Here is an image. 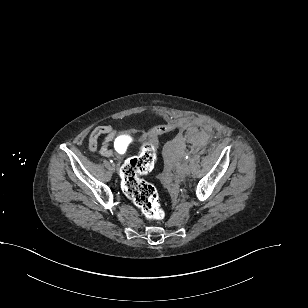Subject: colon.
<instances>
[{"mask_svg":"<svg viewBox=\"0 0 308 308\" xmlns=\"http://www.w3.org/2000/svg\"><path fill=\"white\" fill-rule=\"evenodd\" d=\"M174 128L172 125H158L149 131L147 141L137 156L128 159L121 167V186L125 195L140 209L151 222L164 218L156 188L142 176L149 173L156 161L157 137Z\"/></svg>","mask_w":308,"mask_h":308,"instance_id":"5ec220e1","label":"colon"}]
</instances>
